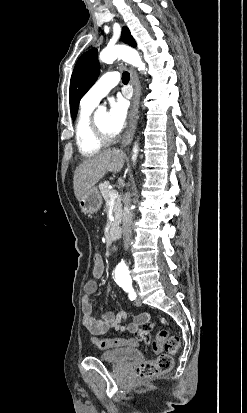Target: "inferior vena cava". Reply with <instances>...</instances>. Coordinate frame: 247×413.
Listing matches in <instances>:
<instances>
[{
    "instance_id": "obj_1",
    "label": "inferior vena cava",
    "mask_w": 247,
    "mask_h": 413,
    "mask_svg": "<svg viewBox=\"0 0 247 413\" xmlns=\"http://www.w3.org/2000/svg\"><path fill=\"white\" fill-rule=\"evenodd\" d=\"M124 209H123V221H122V231H123V243L124 249L127 251L130 241H131V223H132V211H131V194L126 192L123 198Z\"/></svg>"
}]
</instances>
